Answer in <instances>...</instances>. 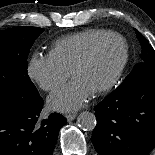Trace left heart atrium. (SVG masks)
I'll return each mask as SVG.
<instances>
[{"instance_id":"obj_1","label":"left heart atrium","mask_w":155,"mask_h":155,"mask_svg":"<svg viewBox=\"0 0 155 155\" xmlns=\"http://www.w3.org/2000/svg\"><path fill=\"white\" fill-rule=\"evenodd\" d=\"M92 94L81 82L74 79L65 88L51 95L48 104L54 110L71 112L85 105Z\"/></svg>"}]
</instances>
